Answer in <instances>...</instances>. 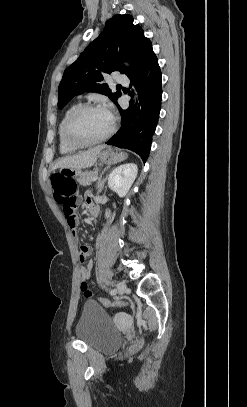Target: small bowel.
I'll use <instances>...</instances> for the list:
<instances>
[{"label":"small bowel","mask_w":247,"mask_h":407,"mask_svg":"<svg viewBox=\"0 0 247 407\" xmlns=\"http://www.w3.org/2000/svg\"><path fill=\"white\" fill-rule=\"evenodd\" d=\"M87 202H92L90 196L87 197ZM80 199L78 197L72 196L66 202L61 203L63 215L67 221L69 228L74 237H77V226H78V205ZM91 254V248L88 245H83L79 249V260L81 263L80 274L84 281L88 280L90 277V271L92 269V262H87V258Z\"/></svg>","instance_id":"obj_1"}]
</instances>
